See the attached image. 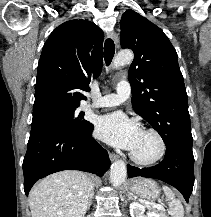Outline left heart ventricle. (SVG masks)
I'll use <instances>...</instances> for the list:
<instances>
[{
	"label": "left heart ventricle",
	"mask_w": 211,
	"mask_h": 217,
	"mask_svg": "<svg viewBox=\"0 0 211 217\" xmlns=\"http://www.w3.org/2000/svg\"><path fill=\"white\" fill-rule=\"evenodd\" d=\"M131 151L142 159L153 158L159 151L158 140L154 135L142 131L136 146Z\"/></svg>",
	"instance_id": "left-heart-ventricle-1"
}]
</instances>
